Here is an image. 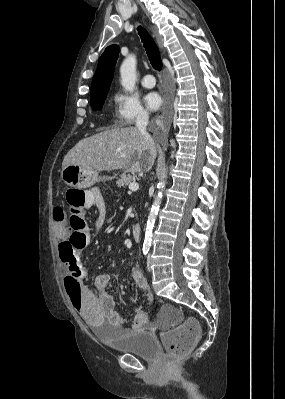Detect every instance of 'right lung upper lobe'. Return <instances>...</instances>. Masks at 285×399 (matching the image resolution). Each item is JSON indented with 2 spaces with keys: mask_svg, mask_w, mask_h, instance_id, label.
<instances>
[{
  "mask_svg": "<svg viewBox=\"0 0 285 399\" xmlns=\"http://www.w3.org/2000/svg\"><path fill=\"white\" fill-rule=\"evenodd\" d=\"M118 56L119 47L110 45L99 58L98 67L92 79L91 98L109 90Z\"/></svg>",
  "mask_w": 285,
  "mask_h": 399,
  "instance_id": "obj_1",
  "label": "right lung upper lobe"
}]
</instances>
